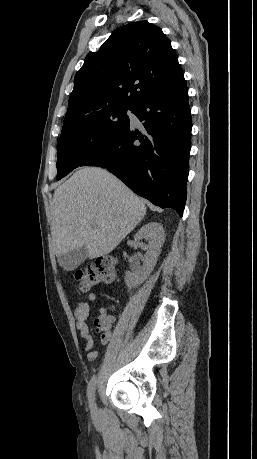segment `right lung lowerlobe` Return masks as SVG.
<instances>
[{"mask_svg": "<svg viewBox=\"0 0 257 459\" xmlns=\"http://www.w3.org/2000/svg\"><path fill=\"white\" fill-rule=\"evenodd\" d=\"M129 127L80 166L107 168L131 190L182 217L191 146V113L184 74L140 101Z\"/></svg>", "mask_w": 257, "mask_h": 459, "instance_id": "obj_1", "label": "right lung lower lobe"}]
</instances>
